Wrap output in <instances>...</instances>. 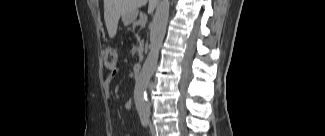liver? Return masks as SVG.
I'll use <instances>...</instances> for the list:
<instances>
[{"instance_id": "1", "label": "liver", "mask_w": 325, "mask_h": 136, "mask_svg": "<svg viewBox=\"0 0 325 136\" xmlns=\"http://www.w3.org/2000/svg\"><path fill=\"white\" fill-rule=\"evenodd\" d=\"M148 0H104V20L110 38L116 35L118 22L121 16L136 13L138 8ZM155 2L149 0V11L154 8Z\"/></svg>"}]
</instances>
